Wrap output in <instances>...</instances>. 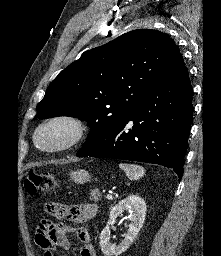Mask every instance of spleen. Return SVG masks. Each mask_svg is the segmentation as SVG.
Masks as SVG:
<instances>
[{
    "label": "spleen",
    "mask_w": 221,
    "mask_h": 256,
    "mask_svg": "<svg viewBox=\"0 0 221 256\" xmlns=\"http://www.w3.org/2000/svg\"><path fill=\"white\" fill-rule=\"evenodd\" d=\"M119 167L124 170L126 176L131 180H138L145 174L144 168L139 165L120 163Z\"/></svg>",
    "instance_id": "spleen-1"
}]
</instances>
